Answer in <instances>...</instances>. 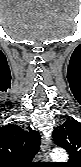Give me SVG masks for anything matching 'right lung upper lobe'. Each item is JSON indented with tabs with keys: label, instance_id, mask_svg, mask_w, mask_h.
<instances>
[{
	"label": "right lung upper lobe",
	"instance_id": "cb5924a9",
	"mask_svg": "<svg viewBox=\"0 0 81 167\" xmlns=\"http://www.w3.org/2000/svg\"><path fill=\"white\" fill-rule=\"evenodd\" d=\"M40 146L38 131L15 124L0 128V167H33Z\"/></svg>",
	"mask_w": 81,
	"mask_h": 167
}]
</instances>
